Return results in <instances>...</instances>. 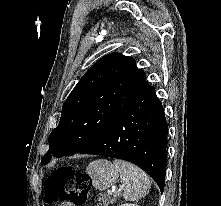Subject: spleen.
I'll use <instances>...</instances> for the list:
<instances>
[{"label": "spleen", "instance_id": "obj_1", "mask_svg": "<svg viewBox=\"0 0 221 206\" xmlns=\"http://www.w3.org/2000/svg\"><path fill=\"white\" fill-rule=\"evenodd\" d=\"M114 165L120 172L123 183V198L135 201L149 193L151 182L149 177L139 167L122 160H114Z\"/></svg>", "mask_w": 221, "mask_h": 206}]
</instances>
